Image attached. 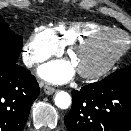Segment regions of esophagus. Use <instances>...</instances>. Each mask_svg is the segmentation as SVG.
I'll use <instances>...</instances> for the list:
<instances>
[{
    "instance_id": "1",
    "label": "esophagus",
    "mask_w": 131,
    "mask_h": 131,
    "mask_svg": "<svg viewBox=\"0 0 131 131\" xmlns=\"http://www.w3.org/2000/svg\"><path fill=\"white\" fill-rule=\"evenodd\" d=\"M56 91L55 88L51 87V86H45L44 87V92L48 95L53 94Z\"/></svg>"
}]
</instances>
